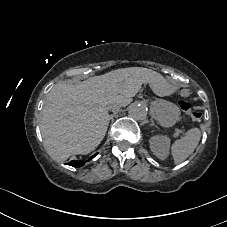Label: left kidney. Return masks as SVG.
Listing matches in <instances>:
<instances>
[{"label":"left kidney","mask_w":227,"mask_h":227,"mask_svg":"<svg viewBox=\"0 0 227 227\" xmlns=\"http://www.w3.org/2000/svg\"><path fill=\"white\" fill-rule=\"evenodd\" d=\"M169 148V139L165 136H154L150 139V149L153 154L159 158L164 159Z\"/></svg>","instance_id":"5707ae66"}]
</instances>
